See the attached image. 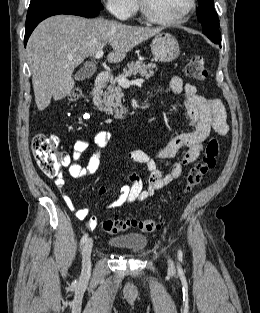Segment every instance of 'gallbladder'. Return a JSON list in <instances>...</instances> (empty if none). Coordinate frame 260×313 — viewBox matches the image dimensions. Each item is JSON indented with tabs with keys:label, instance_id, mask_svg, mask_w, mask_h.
<instances>
[{
	"label": "gallbladder",
	"instance_id": "1",
	"mask_svg": "<svg viewBox=\"0 0 260 313\" xmlns=\"http://www.w3.org/2000/svg\"><path fill=\"white\" fill-rule=\"evenodd\" d=\"M94 72H95V67H92V68L84 67L75 74V79L78 81H81V80L90 78Z\"/></svg>",
	"mask_w": 260,
	"mask_h": 313
}]
</instances>
